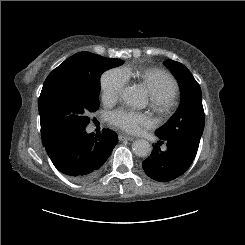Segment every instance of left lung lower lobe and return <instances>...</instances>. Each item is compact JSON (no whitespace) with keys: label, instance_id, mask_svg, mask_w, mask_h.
Returning <instances> with one entry per match:
<instances>
[{"label":"left lung lower lobe","instance_id":"obj_1","mask_svg":"<svg viewBox=\"0 0 245 245\" xmlns=\"http://www.w3.org/2000/svg\"><path fill=\"white\" fill-rule=\"evenodd\" d=\"M157 137L161 140L158 144L165 142L167 150L161 151L157 144L153 145L151 155L143 161V169L150 178L156 181L174 180L188 170L198 148L183 140Z\"/></svg>","mask_w":245,"mask_h":245}]
</instances>
